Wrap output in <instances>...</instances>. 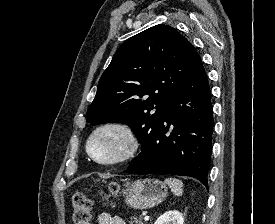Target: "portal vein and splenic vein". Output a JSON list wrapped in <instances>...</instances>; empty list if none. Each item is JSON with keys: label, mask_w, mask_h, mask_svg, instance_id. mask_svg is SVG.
Returning <instances> with one entry per match:
<instances>
[{"label": "portal vein and splenic vein", "mask_w": 275, "mask_h": 224, "mask_svg": "<svg viewBox=\"0 0 275 224\" xmlns=\"http://www.w3.org/2000/svg\"><path fill=\"white\" fill-rule=\"evenodd\" d=\"M148 220H149V216L146 215V216L144 217V221H148Z\"/></svg>", "instance_id": "1"}]
</instances>
